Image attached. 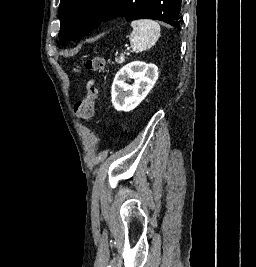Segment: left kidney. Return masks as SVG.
Wrapping results in <instances>:
<instances>
[{
    "label": "left kidney",
    "instance_id": "obj_1",
    "mask_svg": "<svg viewBox=\"0 0 256 267\" xmlns=\"http://www.w3.org/2000/svg\"><path fill=\"white\" fill-rule=\"evenodd\" d=\"M158 68L155 64L130 62L117 72L111 88L112 104L116 110L130 112L134 110L158 80ZM134 80V84H126Z\"/></svg>",
    "mask_w": 256,
    "mask_h": 267
}]
</instances>
